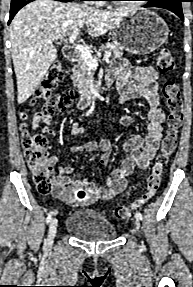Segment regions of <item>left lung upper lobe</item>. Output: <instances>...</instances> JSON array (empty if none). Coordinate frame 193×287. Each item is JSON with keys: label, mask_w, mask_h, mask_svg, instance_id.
<instances>
[{"label": "left lung upper lobe", "mask_w": 193, "mask_h": 287, "mask_svg": "<svg viewBox=\"0 0 193 287\" xmlns=\"http://www.w3.org/2000/svg\"><path fill=\"white\" fill-rule=\"evenodd\" d=\"M145 1H148V3H151V2L158 1V0H145Z\"/></svg>", "instance_id": "left-lung-upper-lobe-1"}]
</instances>
